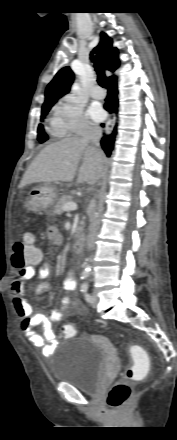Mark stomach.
Masks as SVG:
<instances>
[{"label":"stomach","instance_id":"1","mask_svg":"<svg viewBox=\"0 0 177 440\" xmlns=\"http://www.w3.org/2000/svg\"><path fill=\"white\" fill-rule=\"evenodd\" d=\"M57 200L55 185L45 183L33 188L27 195L25 208L32 212L51 213Z\"/></svg>","mask_w":177,"mask_h":440}]
</instances>
